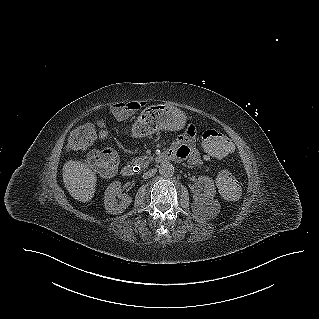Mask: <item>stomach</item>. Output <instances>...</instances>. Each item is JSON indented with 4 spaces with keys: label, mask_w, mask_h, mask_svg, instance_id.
<instances>
[{
    "label": "stomach",
    "mask_w": 319,
    "mask_h": 319,
    "mask_svg": "<svg viewBox=\"0 0 319 319\" xmlns=\"http://www.w3.org/2000/svg\"><path fill=\"white\" fill-rule=\"evenodd\" d=\"M186 115L170 104H158L143 110L132 124V131L139 138H146L165 129L178 131L186 124Z\"/></svg>",
    "instance_id": "0dacf381"
}]
</instances>
